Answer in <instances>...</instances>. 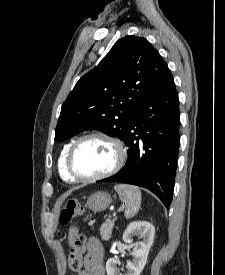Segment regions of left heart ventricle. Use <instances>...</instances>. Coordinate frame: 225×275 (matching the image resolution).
Returning a JSON list of instances; mask_svg holds the SVG:
<instances>
[{
  "mask_svg": "<svg viewBox=\"0 0 225 275\" xmlns=\"http://www.w3.org/2000/svg\"><path fill=\"white\" fill-rule=\"evenodd\" d=\"M114 163V147L102 139L84 141L73 157L74 170L83 176L104 173L111 169Z\"/></svg>",
  "mask_w": 225,
  "mask_h": 275,
  "instance_id": "left-heart-ventricle-1",
  "label": "left heart ventricle"
}]
</instances>
